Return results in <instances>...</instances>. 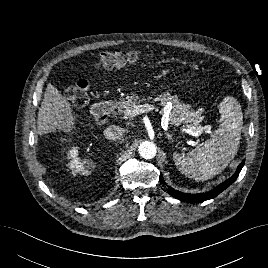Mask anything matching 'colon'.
I'll list each match as a JSON object with an SVG mask.
<instances>
[{"instance_id":"5ec220e1","label":"colon","mask_w":268,"mask_h":268,"mask_svg":"<svg viewBox=\"0 0 268 268\" xmlns=\"http://www.w3.org/2000/svg\"><path fill=\"white\" fill-rule=\"evenodd\" d=\"M137 51H104L97 56V66L104 69H120L133 65L140 60ZM64 96L73 107L84 106L89 97V84L86 81L76 82L69 87Z\"/></svg>"}]
</instances>
